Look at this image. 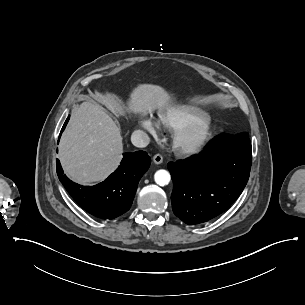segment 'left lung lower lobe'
Wrapping results in <instances>:
<instances>
[{
  "instance_id": "1",
  "label": "left lung lower lobe",
  "mask_w": 305,
  "mask_h": 305,
  "mask_svg": "<svg viewBox=\"0 0 305 305\" xmlns=\"http://www.w3.org/2000/svg\"><path fill=\"white\" fill-rule=\"evenodd\" d=\"M251 156L249 134L243 132L223 134L199 155L168 163L174 214L197 225L226 211L247 184Z\"/></svg>"
}]
</instances>
